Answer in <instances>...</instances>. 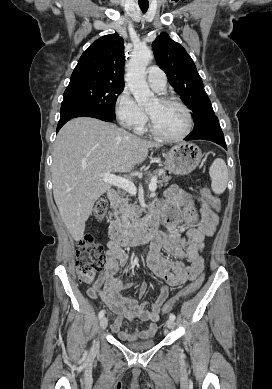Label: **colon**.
I'll return each instance as SVG.
<instances>
[{"mask_svg": "<svg viewBox=\"0 0 272 389\" xmlns=\"http://www.w3.org/2000/svg\"><path fill=\"white\" fill-rule=\"evenodd\" d=\"M202 194L215 210L219 209L218 200L211 194L208 188H203ZM107 209V201L105 199H100L96 202L93 208V216L97 219H101L105 216ZM104 264L105 258L103 254V246L91 235H85L77 242L76 272L79 279L84 284H93L95 282L97 272L101 270ZM202 282L203 278L199 277L188 284L176 297L168 300L164 304L163 311H171L178 300L187 298L194 294L201 287Z\"/></svg>", "mask_w": 272, "mask_h": 389, "instance_id": "colon-1", "label": "colon"}]
</instances>
